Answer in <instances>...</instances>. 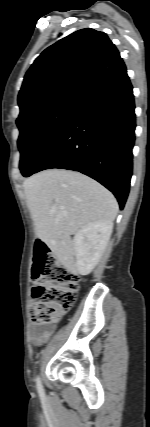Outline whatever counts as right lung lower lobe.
Here are the masks:
<instances>
[{
    "label": "right lung lower lobe",
    "instance_id": "right-lung-lower-lobe-1",
    "mask_svg": "<svg viewBox=\"0 0 150 427\" xmlns=\"http://www.w3.org/2000/svg\"><path fill=\"white\" fill-rule=\"evenodd\" d=\"M135 105L127 73L83 103L34 173L61 168L84 173L126 202L132 176Z\"/></svg>",
    "mask_w": 150,
    "mask_h": 427
}]
</instances>
